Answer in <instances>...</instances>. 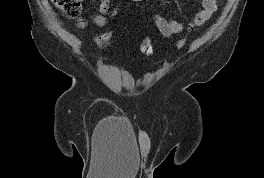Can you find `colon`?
<instances>
[{
    "label": "colon",
    "mask_w": 264,
    "mask_h": 178,
    "mask_svg": "<svg viewBox=\"0 0 264 178\" xmlns=\"http://www.w3.org/2000/svg\"><path fill=\"white\" fill-rule=\"evenodd\" d=\"M53 5L59 9L64 15L69 18H77L82 10L81 1L82 0H51ZM112 37V31H106L101 33L96 37V42L98 46L102 49H105L110 42ZM185 40L182 39L179 41V46L184 44ZM140 51L146 55L151 56L154 52L151 39L148 36H145L140 43Z\"/></svg>",
    "instance_id": "1"
}]
</instances>
